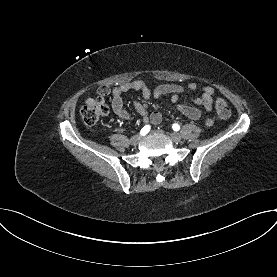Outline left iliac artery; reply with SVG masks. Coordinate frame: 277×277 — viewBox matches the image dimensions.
<instances>
[{
	"mask_svg": "<svg viewBox=\"0 0 277 277\" xmlns=\"http://www.w3.org/2000/svg\"><path fill=\"white\" fill-rule=\"evenodd\" d=\"M172 128L173 130L178 131L180 129V126L178 124H173Z\"/></svg>",
	"mask_w": 277,
	"mask_h": 277,
	"instance_id": "1",
	"label": "left iliac artery"
}]
</instances>
